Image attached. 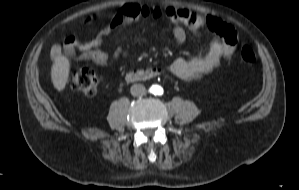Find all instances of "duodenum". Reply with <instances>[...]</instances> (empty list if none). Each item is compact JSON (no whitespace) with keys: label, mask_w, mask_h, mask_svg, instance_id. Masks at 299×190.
Here are the masks:
<instances>
[{"label":"duodenum","mask_w":299,"mask_h":190,"mask_svg":"<svg viewBox=\"0 0 299 190\" xmlns=\"http://www.w3.org/2000/svg\"><path fill=\"white\" fill-rule=\"evenodd\" d=\"M160 73L161 72L155 68L139 69V70L128 72L126 74V80L129 82H138V81L147 80L159 76Z\"/></svg>","instance_id":"duodenum-1"}]
</instances>
